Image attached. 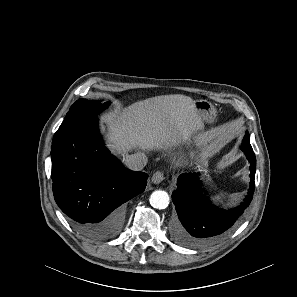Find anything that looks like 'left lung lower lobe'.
Wrapping results in <instances>:
<instances>
[{"label": "left lung lower lobe", "mask_w": 297, "mask_h": 297, "mask_svg": "<svg viewBox=\"0 0 297 297\" xmlns=\"http://www.w3.org/2000/svg\"><path fill=\"white\" fill-rule=\"evenodd\" d=\"M245 152L250 162V188L240 206L223 210L211 203L201 189L197 173H183L172 193L179 221L172 228L173 240L186 247L207 246L222 238L241 220L255 189L256 158L253 151Z\"/></svg>", "instance_id": "1"}]
</instances>
